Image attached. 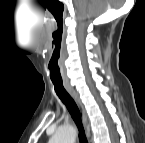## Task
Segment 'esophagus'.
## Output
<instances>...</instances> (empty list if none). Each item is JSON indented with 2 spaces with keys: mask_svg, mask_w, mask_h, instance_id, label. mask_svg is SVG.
<instances>
[{
  "mask_svg": "<svg viewBox=\"0 0 145 143\" xmlns=\"http://www.w3.org/2000/svg\"><path fill=\"white\" fill-rule=\"evenodd\" d=\"M64 86H65L66 90L68 91V93L71 95V97L74 99L75 103L77 104V106L80 110L81 116H82V121H83L84 125H86L85 110H84L83 104H82L78 94L69 84H65Z\"/></svg>",
  "mask_w": 145,
  "mask_h": 143,
  "instance_id": "34e87169",
  "label": "esophagus"
}]
</instances>
